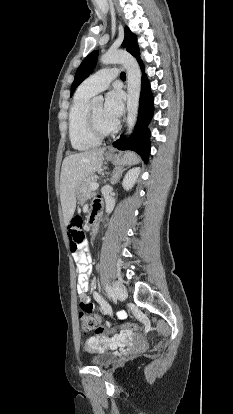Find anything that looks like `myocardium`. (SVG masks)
<instances>
[{
    "label": "myocardium",
    "mask_w": 233,
    "mask_h": 414,
    "mask_svg": "<svg viewBox=\"0 0 233 414\" xmlns=\"http://www.w3.org/2000/svg\"><path fill=\"white\" fill-rule=\"evenodd\" d=\"M85 120H86V127L88 132L95 138L101 140L107 137H110L112 135H114L117 130H118V124H115L113 126L112 129L108 130V131H102L98 128V126L96 125V122L94 120V116L92 114L91 108L88 107L87 111H86V116H85Z\"/></svg>",
    "instance_id": "f54148a6"
}]
</instances>
